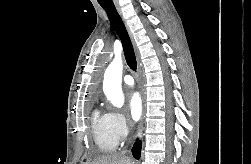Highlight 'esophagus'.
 Masks as SVG:
<instances>
[{"mask_svg": "<svg viewBox=\"0 0 251 164\" xmlns=\"http://www.w3.org/2000/svg\"><path fill=\"white\" fill-rule=\"evenodd\" d=\"M114 3H115V7H116V10H117L118 14L122 18V20H123V22H124V24H125V26L127 28V31H128L129 36L131 38L132 44H133L134 49L136 51V54L138 56L136 44H135V41L133 39V35H132V33L130 32V30L128 29V27L126 25V21L123 18V15H122V12H121V9H120L118 3L116 1ZM137 77H138V81H139L140 94H141V99H142V116H141V120H140V123H139V131H138V136H141V133H142V130H143V125H144V118H145V95H144V92H143V86H142V81H141V62L139 60V57H138V62H137Z\"/></svg>", "mask_w": 251, "mask_h": 164, "instance_id": "esophagus-1", "label": "esophagus"}]
</instances>
